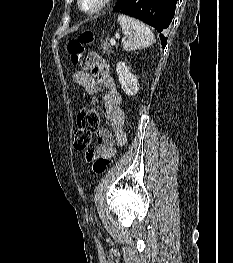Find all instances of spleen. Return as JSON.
I'll return each instance as SVG.
<instances>
[{
	"label": "spleen",
	"mask_w": 233,
	"mask_h": 263,
	"mask_svg": "<svg viewBox=\"0 0 233 263\" xmlns=\"http://www.w3.org/2000/svg\"><path fill=\"white\" fill-rule=\"evenodd\" d=\"M118 23L125 36L124 50L133 51L147 48L155 43L153 33L144 23L123 14L118 15Z\"/></svg>",
	"instance_id": "spleen-1"
}]
</instances>
